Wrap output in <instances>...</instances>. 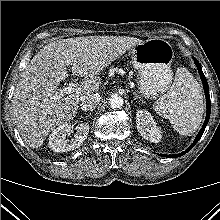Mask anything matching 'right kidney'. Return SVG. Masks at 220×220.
<instances>
[{
  "instance_id": "obj_1",
  "label": "right kidney",
  "mask_w": 220,
  "mask_h": 220,
  "mask_svg": "<svg viewBox=\"0 0 220 220\" xmlns=\"http://www.w3.org/2000/svg\"><path fill=\"white\" fill-rule=\"evenodd\" d=\"M76 129V134L69 140L67 136L72 132L71 124L63 123L59 125L49 135V148L54 152H68L79 148L87 138L89 125L87 123H81Z\"/></svg>"
}]
</instances>
